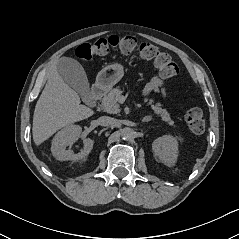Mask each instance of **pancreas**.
Instances as JSON below:
<instances>
[{
  "instance_id": "pancreas-1",
  "label": "pancreas",
  "mask_w": 239,
  "mask_h": 239,
  "mask_svg": "<svg viewBox=\"0 0 239 239\" xmlns=\"http://www.w3.org/2000/svg\"><path fill=\"white\" fill-rule=\"evenodd\" d=\"M123 91L116 87L112 89L103 99H102V109L110 114H116L120 112V105L118 103V98L121 96ZM144 102L150 105L154 112L161 117V120L166 122L169 126L175 127V122L171 119L169 112L162 108V104L157 102L154 104V100L151 98H145Z\"/></svg>"
}]
</instances>
